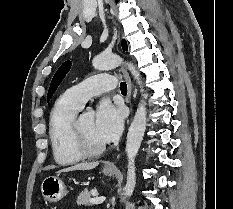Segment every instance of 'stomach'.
I'll use <instances>...</instances> for the list:
<instances>
[{"instance_id":"1","label":"stomach","mask_w":233,"mask_h":209,"mask_svg":"<svg viewBox=\"0 0 233 209\" xmlns=\"http://www.w3.org/2000/svg\"><path fill=\"white\" fill-rule=\"evenodd\" d=\"M106 176H113L115 170L104 169ZM41 193L48 202L55 203L60 201L66 195V186L59 176H49L42 181Z\"/></svg>"}]
</instances>
